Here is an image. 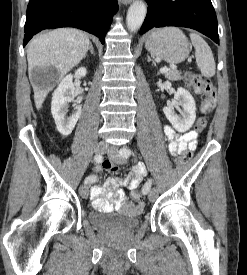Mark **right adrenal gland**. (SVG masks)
I'll use <instances>...</instances> for the list:
<instances>
[{
  "label": "right adrenal gland",
  "instance_id": "right-adrenal-gland-1",
  "mask_svg": "<svg viewBox=\"0 0 247 275\" xmlns=\"http://www.w3.org/2000/svg\"><path fill=\"white\" fill-rule=\"evenodd\" d=\"M89 50L91 54H94V49L92 43H90Z\"/></svg>",
  "mask_w": 247,
  "mask_h": 275
}]
</instances>
